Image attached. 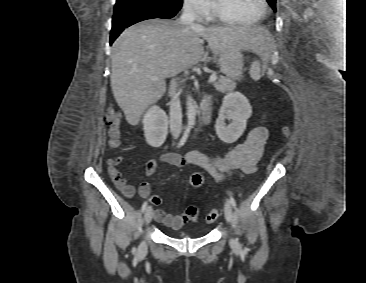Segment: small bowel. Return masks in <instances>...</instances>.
Wrapping results in <instances>:
<instances>
[{
	"label": "small bowel",
	"instance_id": "obj_1",
	"mask_svg": "<svg viewBox=\"0 0 366 283\" xmlns=\"http://www.w3.org/2000/svg\"><path fill=\"white\" fill-rule=\"evenodd\" d=\"M268 138V131L263 125L251 129L246 139L235 147L220 155L209 156L199 150H192L185 156L167 152L161 154L157 159H150L145 164L146 176H152L157 168L158 162L167 163L177 167L191 164L207 171L216 180L222 181L236 171L249 174L254 172L257 163L264 152L265 143ZM122 158L116 157L108 161V172L117 189L127 198L135 194V187L123 178L118 166ZM138 193L141 197L149 198L153 204L159 205L161 198L151 195L150 184L146 181L140 183ZM156 221L172 228L179 229L186 219L181 215H172L162 209H155L153 212Z\"/></svg>",
	"mask_w": 366,
	"mask_h": 283
}]
</instances>
